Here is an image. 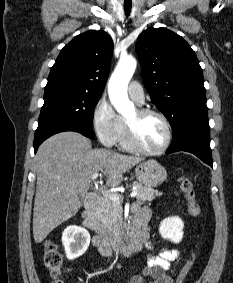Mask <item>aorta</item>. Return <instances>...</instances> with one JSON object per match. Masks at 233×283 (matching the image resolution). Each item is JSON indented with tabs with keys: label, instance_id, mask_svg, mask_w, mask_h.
Masks as SVG:
<instances>
[{
	"label": "aorta",
	"instance_id": "aorta-1",
	"mask_svg": "<svg viewBox=\"0 0 233 283\" xmlns=\"http://www.w3.org/2000/svg\"><path fill=\"white\" fill-rule=\"evenodd\" d=\"M136 65V59L132 56L121 57L109 80L110 101L121 115H126L134 110V104L128 98L127 88Z\"/></svg>",
	"mask_w": 233,
	"mask_h": 283
}]
</instances>
